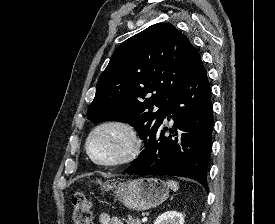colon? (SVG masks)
I'll return each mask as SVG.
<instances>
[{
  "label": "colon",
  "instance_id": "colon-1",
  "mask_svg": "<svg viewBox=\"0 0 275 224\" xmlns=\"http://www.w3.org/2000/svg\"><path fill=\"white\" fill-rule=\"evenodd\" d=\"M72 206L73 224H92L91 204L84 194H74L72 197Z\"/></svg>",
  "mask_w": 275,
  "mask_h": 224
}]
</instances>
